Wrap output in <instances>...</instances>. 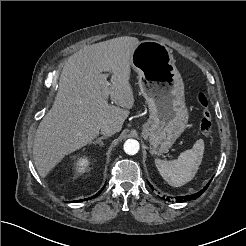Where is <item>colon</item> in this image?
Segmentation results:
<instances>
[{"label":"colon","mask_w":246,"mask_h":246,"mask_svg":"<svg viewBox=\"0 0 246 246\" xmlns=\"http://www.w3.org/2000/svg\"><path fill=\"white\" fill-rule=\"evenodd\" d=\"M197 103L202 107V112L199 117V129L204 135H209L212 131V119L207 109V98L202 91H197L195 94Z\"/></svg>","instance_id":"obj_1"}]
</instances>
